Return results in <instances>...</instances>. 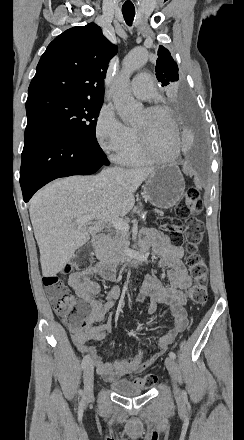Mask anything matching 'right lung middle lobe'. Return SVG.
Returning a JSON list of instances; mask_svg holds the SVG:
<instances>
[{
    "instance_id": "1",
    "label": "right lung middle lobe",
    "mask_w": 244,
    "mask_h": 440,
    "mask_svg": "<svg viewBox=\"0 0 244 440\" xmlns=\"http://www.w3.org/2000/svg\"><path fill=\"white\" fill-rule=\"evenodd\" d=\"M103 99L53 96L27 99V127H48L97 143L95 128Z\"/></svg>"
}]
</instances>
